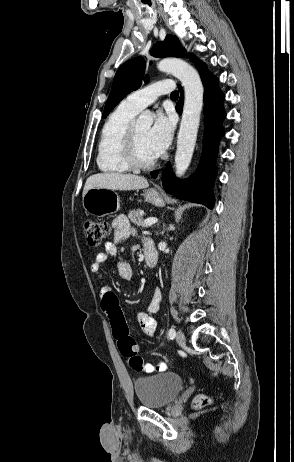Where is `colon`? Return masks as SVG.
<instances>
[{
	"mask_svg": "<svg viewBox=\"0 0 294 462\" xmlns=\"http://www.w3.org/2000/svg\"><path fill=\"white\" fill-rule=\"evenodd\" d=\"M83 231L90 246L98 247L109 235V225L102 220H85ZM101 306L108 317L114 337L118 341L122 355L127 359L129 366L134 370L142 368L143 359L137 355L136 343L131 337L124 315L121 311L117 296L109 292L102 297ZM211 402L207 396H199L195 399L196 407L206 406Z\"/></svg>",
	"mask_w": 294,
	"mask_h": 462,
	"instance_id": "obj_1",
	"label": "colon"
}]
</instances>
